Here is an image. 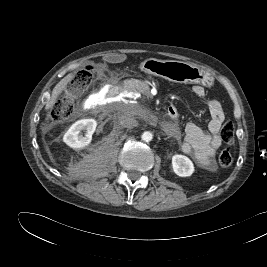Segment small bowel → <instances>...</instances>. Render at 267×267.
I'll list each match as a JSON object with an SVG mask.
<instances>
[{
    "mask_svg": "<svg viewBox=\"0 0 267 267\" xmlns=\"http://www.w3.org/2000/svg\"><path fill=\"white\" fill-rule=\"evenodd\" d=\"M192 92L198 98L206 97V90L202 86H194ZM207 105L210 113L209 132H204L193 122H188L185 127L182 151L191 155L202 168L214 170L216 166L213 158L217 149L221 146L219 131L225 115L219 101L215 99L208 100Z\"/></svg>",
    "mask_w": 267,
    "mask_h": 267,
    "instance_id": "small-bowel-1",
    "label": "small bowel"
}]
</instances>
